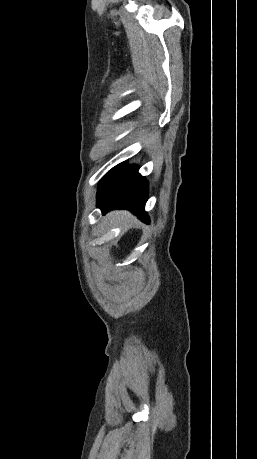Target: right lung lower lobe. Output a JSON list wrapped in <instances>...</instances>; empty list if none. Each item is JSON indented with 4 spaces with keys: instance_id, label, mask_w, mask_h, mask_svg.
I'll return each mask as SVG.
<instances>
[{
    "instance_id": "right-lung-lower-lobe-1",
    "label": "right lung lower lobe",
    "mask_w": 257,
    "mask_h": 459,
    "mask_svg": "<svg viewBox=\"0 0 257 459\" xmlns=\"http://www.w3.org/2000/svg\"><path fill=\"white\" fill-rule=\"evenodd\" d=\"M147 198L148 182L138 173V167L121 163L100 181L97 207L103 214L112 209H128L143 221L149 222L144 211Z\"/></svg>"
}]
</instances>
